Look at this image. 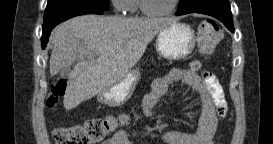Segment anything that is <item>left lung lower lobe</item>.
<instances>
[{
  "label": "left lung lower lobe",
  "instance_id": "1",
  "mask_svg": "<svg viewBox=\"0 0 273 144\" xmlns=\"http://www.w3.org/2000/svg\"><path fill=\"white\" fill-rule=\"evenodd\" d=\"M192 6L184 11H177L176 15L188 13H202L213 16L224 23V25L234 32L232 13L228 0H193Z\"/></svg>",
  "mask_w": 273,
  "mask_h": 144
}]
</instances>
